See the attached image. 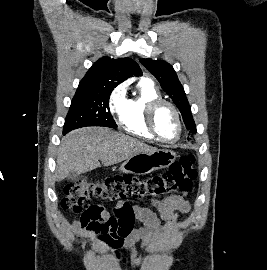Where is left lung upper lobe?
<instances>
[{"mask_svg": "<svg viewBox=\"0 0 267 270\" xmlns=\"http://www.w3.org/2000/svg\"><path fill=\"white\" fill-rule=\"evenodd\" d=\"M140 62L157 78L162 89L171 97L182 114L187 130L196 133L197 130L192 117L191 107L173 67L161 60L141 59Z\"/></svg>", "mask_w": 267, "mask_h": 270, "instance_id": "obj_1", "label": "left lung upper lobe"}]
</instances>
